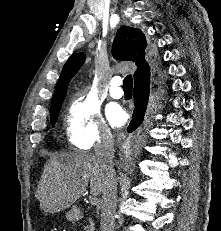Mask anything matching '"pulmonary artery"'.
Instances as JSON below:
<instances>
[{"mask_svg":"<svg viewBox=\"0 0 221 231\" xmlns=\"http://www.w3.org/2000/svg\"><path fill=\"white\" fill-rule=\"evenodd\" d=\"M122 79L120 77H114L111 81V87L109 94L114 99H120L123 96V90L121 88Z\"/></svg>","mask_w":221,"mask_h":231,"instance_id":"obj_1","label":"pulmonary artery"}]
</instances>
